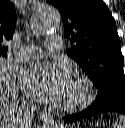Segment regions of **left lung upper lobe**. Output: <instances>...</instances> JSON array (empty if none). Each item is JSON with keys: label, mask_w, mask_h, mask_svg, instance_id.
Returning <instances> with one entry per match:
<instances>
[{"label": "left lung upper lobe", "mask_w": 125, "mask_h": 128, "mask_svg": "<svg viewBox=\"0 0 125 128\" xmlns=\"http://www.w3.org/2000/svg\"><path fill=\"white\" fill-rule=\"evenodd\" d=\"M58 8L67 39V54L98 88L95 103L125 86L124 57L116 23L103 0H46Z\"/></svg>", "instance_id": "left-lung-upper-lobe-1"}]
</instances>
